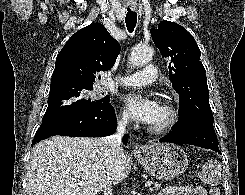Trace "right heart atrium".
I'll return each mask as SVG.
<instances>
[{
    "label": "right heart atrium",
    "instance_id": "d8ad5b80",
    "mask_svg": "<svg viewBox=\"0 0 245 195\" xmlns=\"http://www.w3.org/2000/svg\"><path fill=\"white\" fill-rule=\"evenodd\" d=\"M130 117L127 112H121L118 116V123L122 126L128 124Z\"/></svg>",
    "mask_w": 245,
    "mask_h": 195
}]
</instances>
